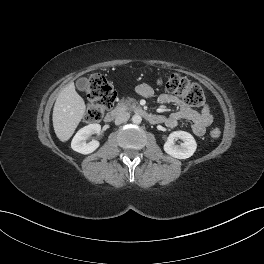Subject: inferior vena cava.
Segmentation results:
<instances>
[{
  "instance_id": "obj_1",
  "label": "inferior vena cava",
  "mask_w": 264,
  "mask_h": 264,
  "mask_svg": "<svg viewBox=\"0 0 264 264\" xmlns=\"http://www.w3.org/2000/svg\"><path fill=\"white\" fill-rule=\"evenodd\" d=\"M130 118V114L128 112H124V113H121L119 114L116 119H115V124L116 125H120L126 121H128Z\"/></svg>"
}]
</instances>
